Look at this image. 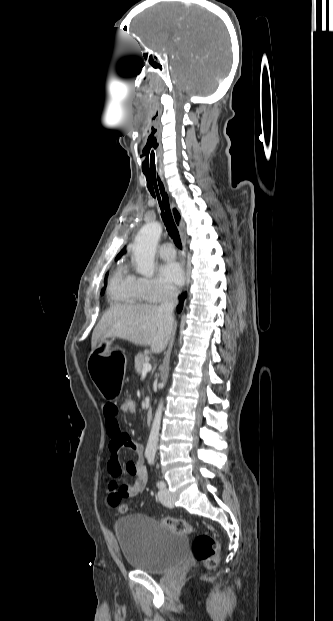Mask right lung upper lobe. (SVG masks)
<instances>
[{"mask_svg":"<svg viewBox=\"0 0 333 621\" xmlns=\"http://www.w3.org/2000/svg\"><path fill=\"white\" fill-rule=\"evenodd\" d=\"M125 248L121 250V252L117 255L116 259H119L124 253H125Z\"/></svg>","mask_w":333,"mask_h":621,"instance_id":"1","label":"right lung upper lobe"}]
</instances>
